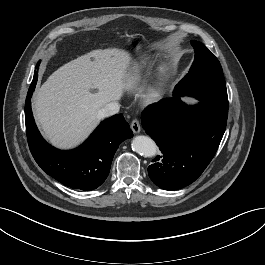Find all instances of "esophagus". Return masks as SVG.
<instances>
[{
  "instance_id": "1",
  "label": "esophagus",
  "mask_w": 265,
  "mask_h": 265,
  "mask_svg": "<svg viewBox=\"0 0 265 265\" xmlns=\"http://www.w3.org/2000/svg\"><path fill=\"white\" fill-rule=\"evenodd\" d=\"M131 129L135 134H138L141 131V125L138 119H134L131 122Z\"/></svg>"
}]
</instances>
